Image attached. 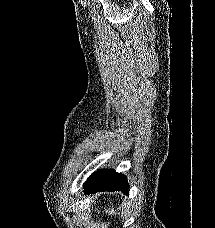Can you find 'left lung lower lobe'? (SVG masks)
Instances as JSON below:
<instances>
[{"instance_id":"left-lung-lower-lobe-1","label":"left lung lower lobe","mask_w":215,"mask_h":228,"mask_svg":"<svg viewBox=\"0 0 215 228\" xmlns=\"http://www.w3.org/2000/svg\"><path fill=\"white\" fill-rule=\"evenodd\" d=\"M97 191H122L125 195H129L126 178L114 170H101L88 178L84 186V193Z\"/></svg>"}]
</instances>
